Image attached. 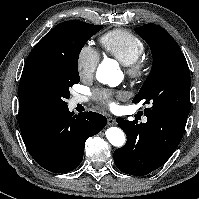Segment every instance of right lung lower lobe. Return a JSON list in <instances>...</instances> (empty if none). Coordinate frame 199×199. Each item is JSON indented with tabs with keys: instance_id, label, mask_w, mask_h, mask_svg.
Returning <instances> with one entry per match:
<instances>
[{
	"instance_id": "98d812e1",
	"label": "right lung lower lobe",
	"mask_w": 199,
	"mask_h": 199,
	"mask_svg": "<svg viewBox=\"0 0 199 199\" xmlns=\"http://www.w3.org/2000/svg\"><path fill=\"white\" fill-rule=\"evenodd\" d=\"M106 123V117L99 113L74 115L66 107L53 112L42 127L23 140L40 166L51 172L66 173L77 168L87 138L99 133Z\"/></svg>"
}]
</instances>
